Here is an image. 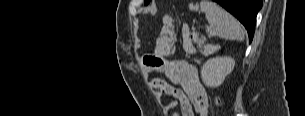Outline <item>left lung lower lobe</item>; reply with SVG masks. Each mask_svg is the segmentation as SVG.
I'll return each instance as SVG.
<instances>
[{"mask_svg": "<svg viewBox=\"0 0 305 116\" xmlns=\"http://www.w3.org/2000/svg\"><path fill=\"white\" fill-rule=\"evenodd\" d=\"M233 14L247 29L249 41L253 39L256 15L262 7V0H214Z\"/></svg>", "mask_w": 305, "mask_h": 116, "instance_id": "obj_1", "label": "left lung lower lobe"}]
</instances>
